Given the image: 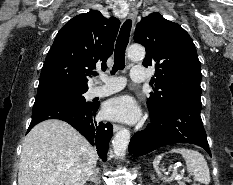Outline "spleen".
<instances>
[{
	"label": "spleen",
	"mask_w": 233,
	"mask_h": 185,
	"mask_svg": "<svg viewBox=\"0 0 233 185\" xmlns=\"http://www.w3.org/2000/svg\"><path fill=\"white\" fill-rule=\"evenodd\" d=\"M170 153H179L185 159L186 167L188 172L192 173L194 180L202 184H209L210 182V172L208 164L204 156L198 151L187 149V148H174ZM164 154L158 155L153 161V167L160 178L163 181H169L168 178L163 177L159 169V163Z\"/></svg>",
	"instance_id": "spleen-1"
}]
</instances>
